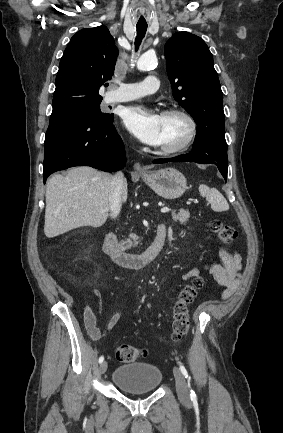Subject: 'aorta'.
Returning a JSON list of instances; mask_svg holds the SVG:
<instances>
[{"mask_svg": "<svg viewBox=\"0 0 283 433\" xmlns=\"http://www.w3.org/2000/svg\"><path fill=\"white\" fill-rule=\"evenodd\" d=\"M158 63L157 57L155 54L146 52L140 56L137 61V68L141 71H146L154 68Z\"/></svg>", "mask_w": 283, "mask_h": 433, "instance_id": "762f6f07", "label": "aorta"}]
</instances>
